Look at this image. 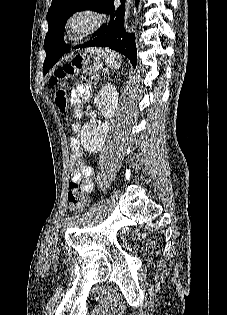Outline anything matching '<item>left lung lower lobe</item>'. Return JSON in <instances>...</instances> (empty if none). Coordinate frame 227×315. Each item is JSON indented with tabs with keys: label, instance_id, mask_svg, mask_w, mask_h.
<instances>
[{
	"label": "left lung lower lobe",
	"instance_id": "left-lung-lower-lobe-1",
	"mask_svg": "<svg viewBox=\"0 0 227 315\" xmlns=\"http://www.w3.org/2000/svg\"><path fill=\"white\" fill-rule=\"evenodd\" d=\"M121 5L118 8L114 6V0H109L104 12L110 14V22L100 27L95 33L94 38L82 45L74 48L86 47H109L119 53L124 54L136 67L137 51L135 46V38L133 34H128L124 31V15H125V0H120ZM138 5L139 0H135ZM46 58L43 65L44 73H47L50 68L64 55L69 52V46L63 40H51L45 44Z\"/></svg>",
	"mask_w": 227,
	"mask_h": 315
}]
</instances>
